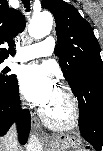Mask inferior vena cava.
<instances>
[{"label": "inferior vena cava", "mask_w": 103, "mask_h": 151, "mask_svg": "<svg viewBox=\"0 0 103 151\" xmlns=\"http://www.w3.org/2000/svg\"><path fill=\"white\" fill-rule=\"evenodd\" d=\"M17 142L16 129L13 126L1 140V151H13V148L17 145ZM2 147L5 149H2Z\"/></svg>", "instance_id": "602c4592"}]
</instances>
